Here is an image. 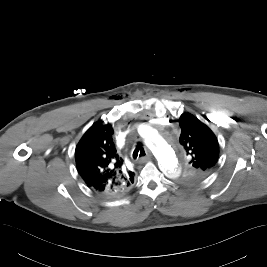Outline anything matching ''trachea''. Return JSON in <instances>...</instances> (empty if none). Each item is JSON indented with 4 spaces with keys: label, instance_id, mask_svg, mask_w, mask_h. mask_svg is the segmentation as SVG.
<instances>
[{
    "label": "trachea",
    "instance_id": "obj_1",
    "mask_svg": "<svg viewBox=\"0 0 267 267\" xmlns=\"http://www.w3.org/2000/svg\"><path fill=\"white\" fill-rule=\"evenodd\" d=\"M145 155H146V153H145V150H144L141 142H138L136 145V148L133 151V158L137 159V157L140 158V157H143Z\"/></svg>",
    "mask_w": 267,
    "mask_h": 267
}]
</instances>
